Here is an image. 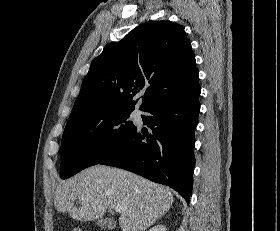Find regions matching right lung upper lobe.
Returning a JSON list of instances; mask_svg holds the SVG:
<instances>
[{
	"label": "right lung upper lobe",
	"instance_id": "right-lung-upper-lobe-1",
	"mask_svg": "<svg viewBox=\"0 0 280 231\" xmlns=\"http://www.w3.org/2000/svg\"><path fill=\"white\" fill-rule=\"evenodd\" d=\"M199 87L195 55L183 27L151 21L108 44L92 61L68 120L132 112V98L144 90L142 111Z\"/></svg>",
	"mask_w": 280,
	"mask_h": 231
}]
</instances>
